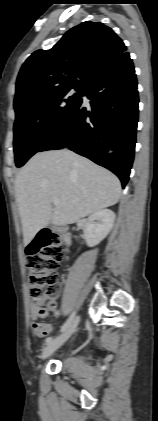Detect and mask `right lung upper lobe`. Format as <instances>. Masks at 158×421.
I'll return each instance as SVG.
<instances>
[{
    "instance_id": "cb5924a9",
    "label": "right lung upper lobe",
    "mask_w": 158,
    "mask_h": 421,
    "mask_svg": "<svg viewBox=\"0 0 158 421\" xmlns=\"http://www.w3.org/2000/svg\"><path fill=\"white\" fill-rule=\"evenodd\" d=\"M126 53L116 33L100 22L70 29L50 50L35 51L23 64L16 82L14 105L55 89L84 87L105 65Z\"/></svg>"
}]
</instances>
